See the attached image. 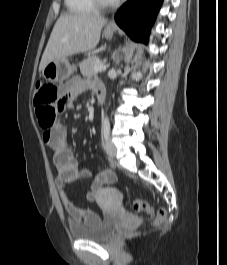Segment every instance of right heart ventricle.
I'll return each instance as SVG.
<instances>
[{"label":"right heart ventricle","instance_id":"right-heart-ventricle-1","mask_svg":"<svg viewBox=\"0 0 227 265\" xmlns=\"http://www.w3.org/2000/svg\"><path fill=\"white\" fill-rule=\"evenodd\" d=\"M64 2L71 14H89L96 10L91 0H64Z\"/></svg>","mask_w":227,"mask_h":265}]
</instances>
